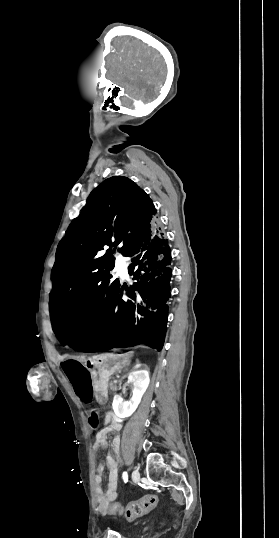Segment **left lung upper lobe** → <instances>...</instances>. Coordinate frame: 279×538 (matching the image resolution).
Here are the masks:
<instances>
[{"mask_svg":"<svg viewBox=\"0 0 279 538\" xmlns=\"http://www.w3.org/2000/svg\"><path fill=\"white\" fill-rule=\"evenodd\" d=\"M155 213L148 194L127 177L108 178L91 192L56 251L50 313L58 339L66 332L90 336L102 324L120 288L109 274L113 254L119 247L127 256L154 226ZM104 245L110 248L100 257Z\"/></svg>","mask_w":279,"mask_h":538,"instance_id":"1","label":"left lung upper lobe"}]
</instances>
